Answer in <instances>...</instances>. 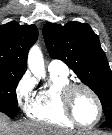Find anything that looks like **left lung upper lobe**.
Listing matches in <instances>:
<instances>
[{
	"instance_id": "1",
	"label": "left lung upper lobe",
	"mask_w": 112,
	"mask_h": 135,
	"mask_svg": "<svg viewBox=\"0 0 112 135\" xmlns=\"http://www.w3.org/2000/svg\"><path fill=\"white\" fill-rule=\"evenodd\" d=\"M43 36L51 57L65 62L99 97L106 119L112 118V71L89 24L47 23Z\"/></svg>"
}]
</instances>
